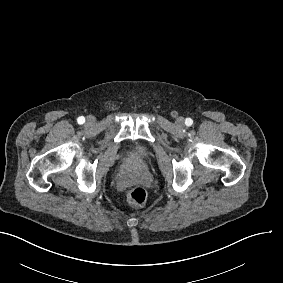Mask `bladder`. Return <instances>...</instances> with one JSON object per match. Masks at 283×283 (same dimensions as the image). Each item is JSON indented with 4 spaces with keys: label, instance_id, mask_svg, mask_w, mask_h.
<instances>
[{
    "label": "bladder",
    "instance_id": "1",
    "mask_svg": "<svg viewBox=\"0 0 283 283\" xmlns=\"http://www.w3.org/2000/svg\"><path fill=\"white\" fill-rule=\"evenodd\" d=\"M125 149L133 159L141 162H145L150 154V148L144 145L127 146Z\"/></svg>",
    "mask_w": 283,
    "mask_h": 283
}]
</instances>
